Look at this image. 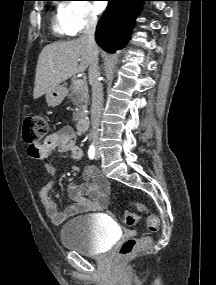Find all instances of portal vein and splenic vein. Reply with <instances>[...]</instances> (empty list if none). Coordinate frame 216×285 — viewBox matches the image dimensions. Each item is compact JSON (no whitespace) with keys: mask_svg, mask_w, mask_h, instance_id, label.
I'll return each instance as SVG.
<instances>
[{"mask_svg":"<svg viewBox=\"0 0 216 285\" xmlns=\"http://www.w3.org/2000/svg\"><path fill=\"white\" fill-rule=\"evenodd\" d=\"M83 83H84V80H82V79H78V80L75 81V85H76L77 87L82 86Z\"/></svg>","mask_w":216,"mask_h":285,"instance_id":"18ae733b","label":"portal vein and splenic vein"}]
</instances>
